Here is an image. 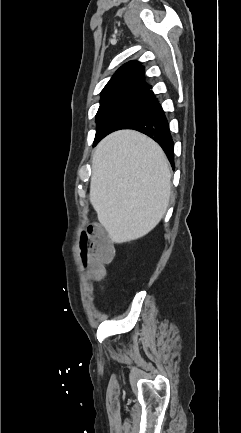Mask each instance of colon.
Masks as SVG:
<instances>
[{"instance_id": "colon-1", "label": "colon", "mask_w": 241, "mask_h": 433, "mask_svg": "<svg viewBox=\"0 0 241 433\" xmlns=\"http://www.w3.org/2000/svg\"><path fill=\"white\" fill-rule=\"evenodd\" d=\"M79 254L81 259L90 265L93 274L101 277L104 274V263L110 261L113 256V247L106 235L102 232L94 235L91 229L81 236Z\"/></svg>"}]
</instances>
